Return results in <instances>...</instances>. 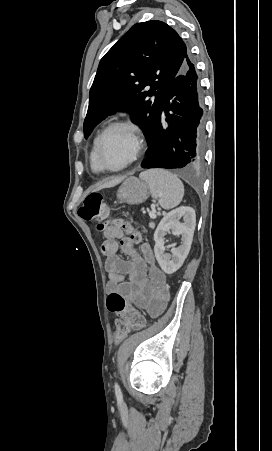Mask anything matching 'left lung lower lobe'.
I'll return each instance as SVG.
<instances>
[{
    "instance_id": "obj_1",
    "label": "left lung lower lobe",
    "mask_w": 272,
    "mask_h": 451,
    "mask_svg": "<svg viewBox=\"0 0 272 451\" xmlns=\"http://www.w3.org/2000/svg\"><path fill=\"white\" fill-rule=\"evenodd\" d=\"M143 168H186L203 162V103L195 65L187 52L161 102Z\"/></svg>"
}]
</instances>
